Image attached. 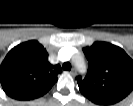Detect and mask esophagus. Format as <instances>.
Instances as JSON below:
<instances>
[{
    "label": "esophagus",
    "instance_id": "1",
    "mask_svg": "<svg viewBox=\"0 0 133 106\" xmlns=\"http://www.w3.org/2000/svg\"><path fill=\"white\" fill-rule=\"evenodd\" d=\"M70 74L75 77L77 75V70L75 68H73L71 71H70Z\"/></svg>",
    "mask_w": 133,
    "mask_h": 106
}]
</instances>
